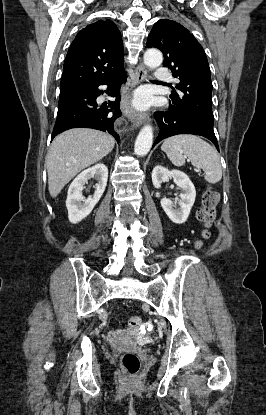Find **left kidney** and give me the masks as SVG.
Wrapping results in <instances>:
<instances>
[{
	"instance_id": "1",
	"label": "left kidney",
	"mask_w": 266,
	"mask_h": 415,
	"mask_svg": "<svg viewBox=\"0 0 266 415\" xmlns=\"http://www.w3.org/2000/svg\"><path fill=\"white\" fill-rule=\"evenodd\" d=\"M168 178H173L175 184L182 190L178 202L179 208L176 207V203L167 198L161 199V206L174 223L182 224L187 220L195 202L196 190L189 177L182 171H169L162 166H156L153 169L152 182L155 188H160L161 184L167 181Z\"/></svg>"
}]
</instances>
